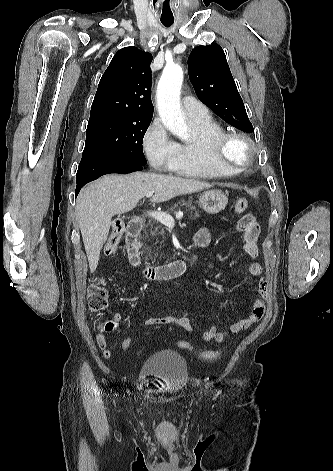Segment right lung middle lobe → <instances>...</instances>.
Segmentation results:
<instances>
[{"mask_svg": "<svg viewBox=\"0 0 333 471\" xmlns=\"http://www.w3.org/2000/svg\"><path fill=\"white\" fill-rule=\"evenodd\" d=\"M151 119L121 113L90 117L81 160L108 158L145 165L142 142Z\"/></svg>", "mask_w": 333, "mask_h": 471, "instance_id": "1", "label": "right lung middle lobe"}]
</instances>
